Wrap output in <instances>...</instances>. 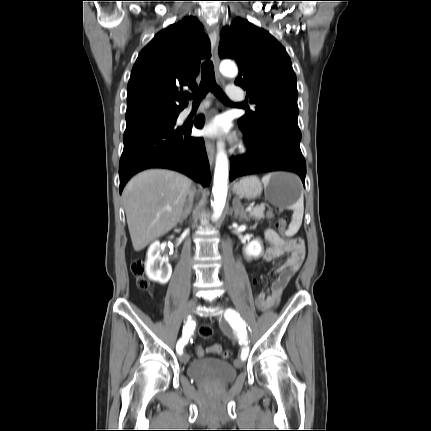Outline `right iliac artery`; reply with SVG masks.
I'll use <instances>...</instances> for the list:
<instances>
[{
  "mask_svg": "<svg viewBox=\"0 0 431 431\" xmlns=\"http://www.w3.org/2000/svg\"><path fill=\"white\" fill-rule=\"evenodd\" d=\"M194 327H195V324L192 321H190V319L183 327L182 337L179 339L176 345V351L178 354H182L183 348L188 343V340L191 334L193 333Z\"/></svg>",
  "mask_w": 431,
  "mask_h": 431,
  "instance_id": "1",
  "label": "right iliac artery"
}]
</instances>
